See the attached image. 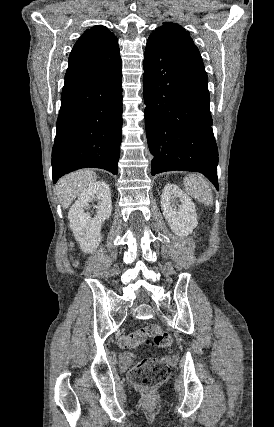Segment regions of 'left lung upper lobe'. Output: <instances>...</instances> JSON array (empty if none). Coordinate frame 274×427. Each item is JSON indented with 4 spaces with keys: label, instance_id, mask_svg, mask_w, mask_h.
<instances>
[{
    "label": "left lung upper lobe",
    "instance_id": "left-lung-upper-lobe-1",
    "mask_svg": "<svg viewBox=\"0 0 274 427\" xmlns=\"http://www.w3.org/2000/svg\"><path fill=\"white\" fill-rule=\"evenodd\" d=\"M149 39L163 41L173 50L202 62L198 48L189 36V32L178 24L163 23L161 27L153 31Z\"/></svg>",
    "mask_w": 274,
    "mask_h": 427
}]
</instances>
